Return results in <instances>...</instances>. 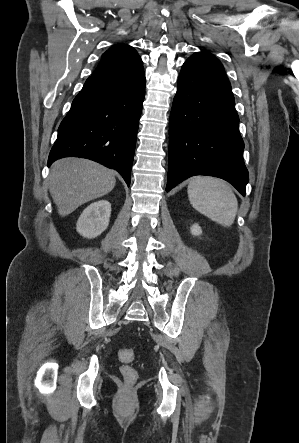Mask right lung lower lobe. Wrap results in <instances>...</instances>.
I'll return each instance as SVG.
<instances>
[{"instance_id":"right-lung-lower-lobe-1","label":"right lung lower lobe","mask_w":299,"mask_h":443,"mask_svg":"<svg viewBox=\"0 0 299 443\" xmlns=\"http://www.w3.org/2000/svg\"><path fill=\"white\" fill-rule=\"evenodd\" d=\"M144 96V69L90 76L59 126L48 166L88 158L118 171L129 186Z\"/></svg>"}]
</instances>
